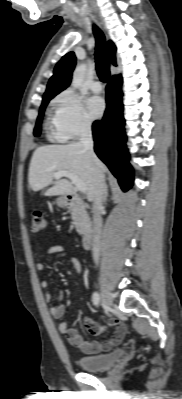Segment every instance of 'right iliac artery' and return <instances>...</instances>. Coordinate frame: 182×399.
I'll return each mask as SVG.
<instances>
[{
    "mask_svg": "<svg viewBox=\"0 0 182 399\" xmlns=\"http://www.w3.org/2000/svg\"><path fill=\"white\" fill-rule=\"evenodd\" d=\"M92 302L96 307H99L100 305V296L97 292H94L92 295Z\"/></svg>",
    "mask_w": 182,
    "mask_h": 399,
    "instance_id": "right-iliac-artery-1",
    "label": "right iliac artery"
}]
</instances>
